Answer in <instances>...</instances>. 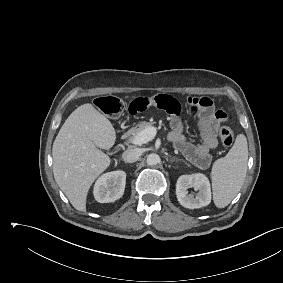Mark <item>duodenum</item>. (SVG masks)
I'll list each match as a JSON object with an SVG mask.
<instances>
[{
    "instance_id": "duodenum-1",
    "label": "duodenum",
    "mask_w": 283,
    "mask_h": 283,
    "mask_svg": "<svg viewBox=\"0 0 283 283\" xmlns=\"http://www.w3.org/2000/svg\"><path fill=\"white\" fill-rule=\"evenodd\" d=\"M134 130L133 129H129L127 131H125L123 134H122V140H126L128 139L132 134H133Z\"/></svg>"
}]
</instances>
